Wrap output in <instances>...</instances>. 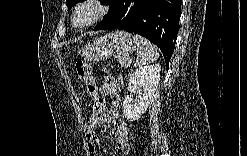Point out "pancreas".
Wrapping results in <instances>:
<instances>
[{
	"label": "pancreas",
	"mask_w": 247,
	"mask_h": 156,
	"mask_svg": "<svg viewBox=\"0 0 247 156\" xmlns=\"http://www.w3.org/2000/svg\"><path fill=\"white\" fill-rule=\"evenodd\" d=\"M116 58L122 67H127L129 57L126 54H117Z\"/></svg>",
	"instance_id": "pancreas-1"
}]
</instances>
